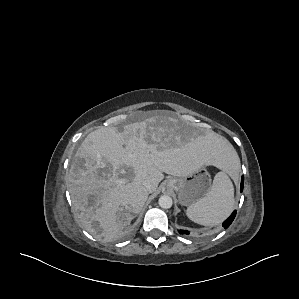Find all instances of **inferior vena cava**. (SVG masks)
<instances>
[{"mask_svg":"<svg viewBox=\"0 0 299 299\" xmlns=\"http://www.w3.org/2000/svg\"><path fill=\"white\" fill-rule=\"evenodd\" d=\"M143 185L148 192H151V183L149 181H144Z\"/></svg>","mask_w":299,"mask_h":299,"instance_id":"602c4592","label":"inferior vena cava"}]
</instances>
